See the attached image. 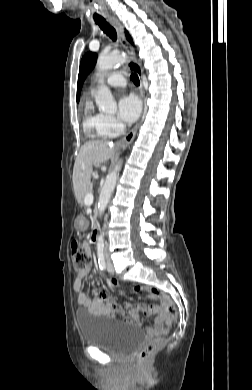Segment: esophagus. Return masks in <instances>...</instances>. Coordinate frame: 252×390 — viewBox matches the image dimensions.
<instances>
[{"label":"esophagus","instance_id":"34e87169","mask_svg":"<svg viewBox=\"0 0 252 390\" xmlns=\"http://www.w3.org/2000/svg\"><path fill=\"white\" fill-rule=\"evenodd\" d=\"M108 19L111 22V24L115 27V29L119 35L121 44H122V46L127 54V57H128V62H127L128 66L138 75V77L141 81V85H142L143 84L142 83L143 82V71H142L141 66L139 65V63H137V61L135 59V53H134L133 47L125 38L123 28H122L121 24L119 23V21L117 19H115L114 17H108ZM141 122H142V119L139 121V123H137L135 125V127L125 137H123L117 143L118 147H126L133 141L135 134H136Z\"/></svg>","mask_w":252,"mask_h":390}]
</instances>
